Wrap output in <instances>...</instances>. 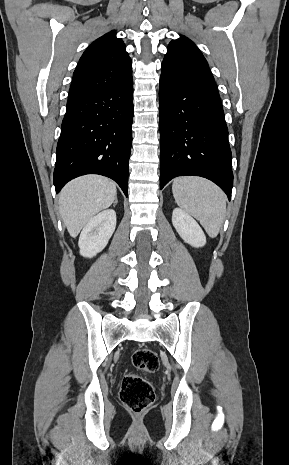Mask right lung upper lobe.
<instances>
[{
    "mask_svg": "<svg viewBox=\"0 0 289 465\" xmlns=\"http://www.w3.org/2000/svg\"><path fill=\"white\" fill-rule=\"evenodd\" d=\"M122 39L110 31L83 53L73 73L69 100L117 86L132 75V61Z\"/></svg>",
    "mask_w": 289,
    "mask_h": 465,
    "instance_id": "cb5924a9",
    "label": "right lung upper lobe"
}]
</instances>
